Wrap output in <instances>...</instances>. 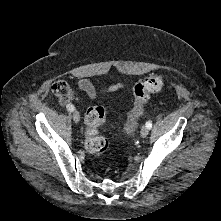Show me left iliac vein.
Wrapping results in <instances>:
<instances>
[{
  "label": "left iliac vein",
  "mask_w": 221,
  "mask_h": 221,
  "mask_svg": "<svg viewBox=\"0 0 221 221\" xmlns=\"http://www.w3.org/2000/svg\"><path fill=\"white\" fill-rule=\"evenodd\" d=\"M149 134V129L146 126H143L141 129V136L144 138Z\"/></svg>",
  "instance_id": "4c4485c4"
}]
</instances>
